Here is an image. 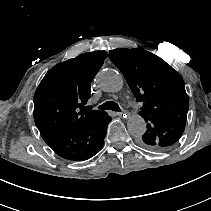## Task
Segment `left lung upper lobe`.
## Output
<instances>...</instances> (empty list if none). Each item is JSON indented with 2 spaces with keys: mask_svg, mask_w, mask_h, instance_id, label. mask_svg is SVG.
<instances>
[{
  "mask_svg": "<svg viewBox=\"0 0 211 211\" xmlns=\"http://www.w3.org/2000/svg\"><path fill=\"white\" fill-rule=\"evenodd\" d=\"M110 60L123 73L147 123L141 145L164 151L182 136L189 100L182 77L164 60L143 49L119 48L109 52Z\"/></svg>",
  "mask_w": 211,
  "mask_h": 211,
  "instance_id": "left-lung-upper-lobe-1",
  "label": "left lung upper lobe"
}]
</instances>
